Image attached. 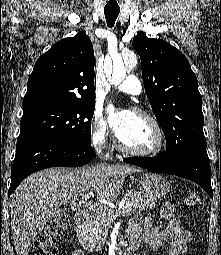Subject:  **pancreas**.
<instances>
[{
    "mask_svg": "<svg viewBox=\"0 0 221 255\" xmlns=\"http://www.w3.org/2000/svg\"><path fill=\"white\" fill-rule=\"evenodd\" d=\"M123 199L130 206L129 212L152 209L156 205L155 201L145 198L140 192L135 190H127L123 193ZM116 217V212L107 208L106 211L95 214L85 222V226H88L92 231V236L87 245L88 248L93 249L96 245L100 248L101 245L105 244L108 229Z\"/></svg>",
    "mask_w": 221,
    "mask_h": 255,
    "instance_id": "cf45deb5",
    "label": "pancreas"
}]
</instances>
